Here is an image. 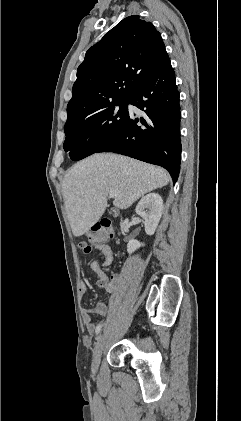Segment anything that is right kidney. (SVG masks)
Listing matches in <instances>:
<instances>
[{
    "mask_svg": "<svg viewBox=\"0 0 241 421\" xmlns=\"http://www.w3.org/2000/svg\"><path fill=\"white\" fill-rule=\"evenodd\" d=\"M135 211L144 220L146 234L153 235L162 216L163 200L159 194H147L139 201ZM141 246L144 244L132 239L127 244V252L131 254Z\"/></svg>",
    "mask_w": 241,
    "mask_h": 421,
    "instance_id": "ca27d5eb",
    "label": "right kidney"
}]
</instances>
